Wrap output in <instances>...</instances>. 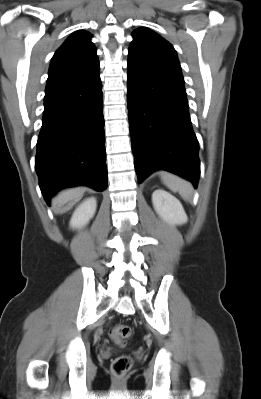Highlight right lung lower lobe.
Wrapping results in <instances>:
<instances>
[{"label": "right lung lower lobe", "instance_id": "1", "mask_svg": "<svg viewBox=\"0 0 261 399\" xmlns=\"http://www.w3.org/2000/svg\"><path fill=\"white\" fill-rule=\"evenodd\" d=\"M100 75L56 91L46 92L35 168L42 194L87 185L107 187L104 119Z\"/></svg>", "mask_w": 261, "mask_h": 399}]
</instances>
